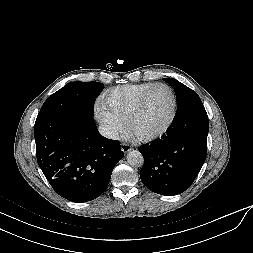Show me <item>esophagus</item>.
Returning <instances> with one entry per match:
<instances>
[{"instance_id": "esophagus-1", "label": "esophagus", "mask_w": 253, "mask_h": 253, "mask_svg": "<svg viewBox=\"0 0 253 253\" xmlns=\"http://www.w3.org/2000/svg\"><path fill=\"white\" fill-rule=\"evenodd\" d=\"M121 148L124 153H128L132 149L128 144H122Z\"/></svg>"}]
</instances>
